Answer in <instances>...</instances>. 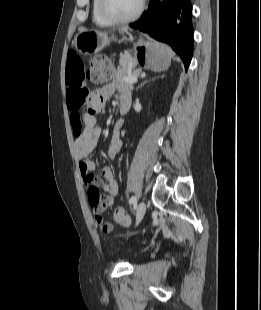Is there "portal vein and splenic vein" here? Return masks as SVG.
Masks as SVG:
<instances>
[{
	"label": "portal vein and splenic vein",
	"mask_w": 261,
	"mask_h": 310,
	"mask_svg": "<svg viewBox=\"0 0 261 310\" xmlns=\"http://www.w3.org/2000/svg\"><path fill=\"white\" fill-rule=\"evenodd\" d=\"M124 81L129 83V84H134L138 81V78L132 77V76H126V77H124Z\"/></svg>",
	"instance_id": "obj_1"
}]
</instances>
